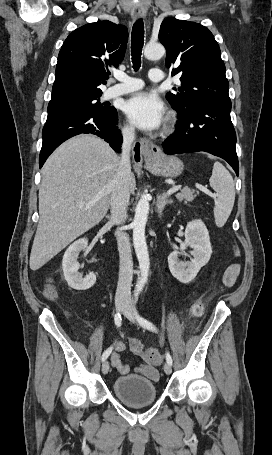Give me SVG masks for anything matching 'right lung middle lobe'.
<instances>
[{
	"label": "right lung middle lobe",
	"instance_id": "right-lung-middle-lobe-1",
	"mask_svg": "<svg viewBox=\"0 0 272 455\" xmlns=\"http://www.w3.org/2000/svg\"><path fill=\"white\" fill-rule=\"evenodd\" d=\"M101 95L102 94L78 96L49 102L47 118L70 112H88L102 115L111 114L115 108L101 104L99 101Z\"/></svg>",
	"mask_w": 272,
	"mask_h": 455
}]
</instances>
